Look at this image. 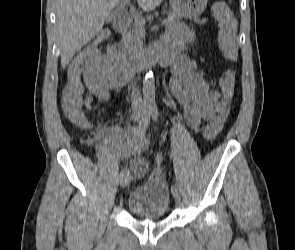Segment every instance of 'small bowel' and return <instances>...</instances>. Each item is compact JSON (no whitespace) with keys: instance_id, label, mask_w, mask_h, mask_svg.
I'll list each match as a JSON object with an SVG mask.
<instances>
[{"instance_id":"1","label":"small bowel","mask_w":295,"mask_h":250,"mask_svg":"<svg viewBox=\"0 0 295 250\" xmlns=\"http://www.w3.org/2000/svg\"><path fill=\"white\" fill-rule=\"evenodd\" d=\"M194 33L185 26L171 28L164 36L162 48L167 52L171 69L169 86L173 96L183 106L187 124L194 130L201 123L212 122L224 111L222 94L197 70L195 61L184 54L187 45L193 40ZM117 50L112 46L106 53L80 51L68 66L67 77H83L87 92L85 103L91 107L95 101L106 102L112 91H119L124 82L115 74ZM229 113V112H228ZM228 113L226 116H228ZM118 145L124 152L134 153L130 167L136 176H142L148 168L147 160L142 156L141 143L135 141L134 132L124 134Z\"/></svg>"}]
</instances>
